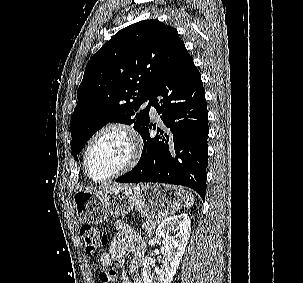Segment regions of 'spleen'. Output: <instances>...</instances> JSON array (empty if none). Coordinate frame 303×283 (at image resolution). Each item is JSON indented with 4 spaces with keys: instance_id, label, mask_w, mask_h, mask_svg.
<instances>
[{
    "instance_id": "spleen-1",
    "label": "spleen",
    "mask_w": 303,
    "mask_h": 283,
    "mask_svg": "<svg viewBox=\"0 0 303 283\" xmlns=\"http://www.w3.org/2000/svg\"><path fill=\"white\" fill-rule=\"evenodd\" d=\"M194 196L191 192H186V206L191 207L194 204Z\"/></svg>"
}]
</instances>
